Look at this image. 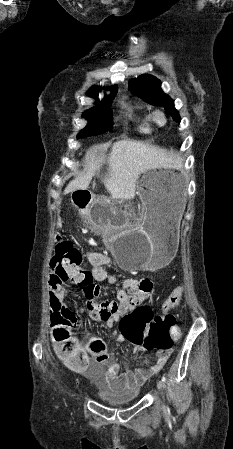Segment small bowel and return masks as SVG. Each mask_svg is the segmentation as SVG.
<instances>
[{
    "mask_svg": "<svg viewBox=\"0 0 233 449\" xmlns=\"http://www.w3.org/2000/svg\"><path fill=\"white\" fill-rule=\"evenodd\" d=\"M86 259L90 263L89 277L91 281H104L110 284H121L122 289L117 295V301L108 299H99L102 296L103 287L98 285L91 292L93 299H99L95 302H89L86 305L87 310L79 308L78 312L87 314L95 322H106L111 327L114 322L119 321L126 314H130L132 310H137L136 306L145 302L152 291L155 284L152 278H148L147 274H123L120 277L113 275L106 269V265L111 262V258L98 251H87ZM75 279L76 270L74 268L67 269L63 274L56 266L51 269L48 277L49 301L51 309L54 311L64 310L68 303V293L64 287L65 279ZM70 341L73 343L75 351L80 354L85 361V366L92 372H99L107 361L99 359L95 353L84 354V343L79 336L71 333ZM126 341V338L116 337V343ZM57 350L59 343L54 340ZM135 351L144 352L145 349H138L137 343H132ZM169 356V352H158L157 361L154 365L146 368H137L129 370L122 374H118L117 367H111L106 372L107 382L116 389L135 388L143 385L151 376L157 374L165 365ZM148 364V361H145ZM84 366V367H85Z\"/></svg>",
    "mask_w": 233,
    "mask_h": 449,
    "instance_id": "small-bowel-1",
    "label": "small bowel"
}]
</instances>
